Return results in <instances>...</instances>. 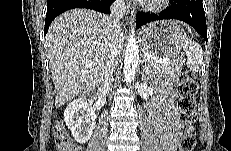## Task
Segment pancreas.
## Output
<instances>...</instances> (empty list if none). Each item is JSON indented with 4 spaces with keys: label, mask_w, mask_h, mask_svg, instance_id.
I'll use <instances>...</instances> for the list:
<instances>
[{
    "label": "pancreas",
    "mask_w": 231,
    "mask_h": 151,
    "mask_svg": "<svg viewBox=\"0 0 231 151\" xmlns=\"http://www.w3.org/2000/svg\"><path fill=\"white\" fill-rule=\"evenodd\" d=\"M183 63L179 60L170 63H158L155 60L147 59L149 72H159L168 75L181 74Z\"/></svg>",
    "instance_id": "cf45deb5"
}]
</instances>
